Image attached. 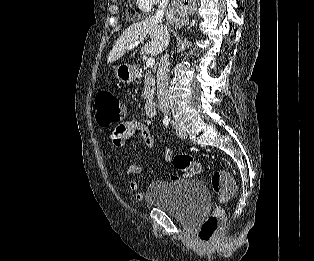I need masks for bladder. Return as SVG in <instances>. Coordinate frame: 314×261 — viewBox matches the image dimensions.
<instances>
[{
	"label": "bladder",
	"instance_id": "31cf9c89",
	"mask_svg": "<svg viewBox=\"0 0 314 261\" xmlns=\"http://www.w3.org/2000/svg\"><path fill=\"white\" fill-rule=\"evenodd\" d=\"M208 190L199 180L155 181L147 189L145 200L179 219L193 225L208 207Z\"/></svg>",
	"mask_w": 314,
	"mask_h": 261
}]
</instances>
